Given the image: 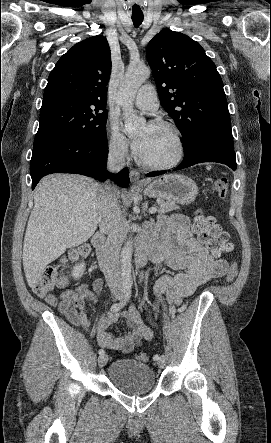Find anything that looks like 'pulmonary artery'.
<instances>
[{
    "instance_id": "e3ab8cb5",
    "label": "pulmonary artery",
    "mask_w": 271,
    "mask_h": 443,
    "mask_svg": "<svg viewBox=\"0 0 271 443\" xmlns=\"http://www.w3.org/2000/svg\"><path fill=\"white\" fill-rule=\"evenodd\" d=\"M135 105L141 110H155L158 107V99L155 89L151 85L142 86L133 99Z\"/></svg>"
}]
</instances>
